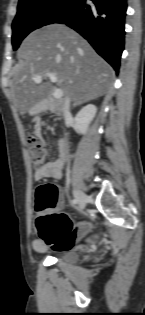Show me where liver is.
<instances>
[{
	"instance_id": "liver-1",
	"label": "liver",
	"mask_w": 145,
	"mask_h": 315,
	"mask_svg": "<svg viewBox=\"0 0 145 315\" xmlns=\"http://www.w3.org/2000/svg\"><path fill=\"white\" fill-rule=\"evenodd\" d=\"M18 64L13 70L12 98L21 115L33 113L36 104L48 100L56 90L45 73L57 77V85L74 104L103 96L114 71L78 33L65 25L53 24L29 34L22 42ZM36 75L42 80L34 82ZM63 100L57 104L61 108Z\"/></svg>"
}]
</instances>
